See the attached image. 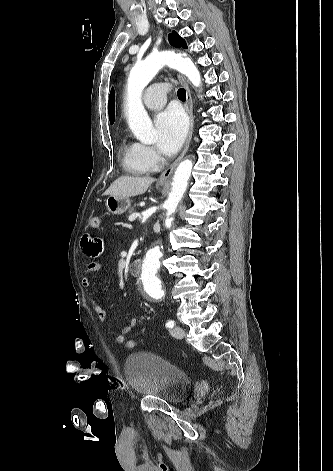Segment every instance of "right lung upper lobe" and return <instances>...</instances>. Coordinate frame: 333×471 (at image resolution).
I'll return each instance as SVG.
<instances>
[{"label": "right lung upper lobe", "instance_id": "obj_1", "mask_svg": "<svg viewBox=\"0 0 333 471\" xmlns=\"http://www.w3.org/2000/svg\"><path fill=\"white\" fill-rule=\"evenodd\" d=\"M114 116H115V94L114 90H111L110 96H109V119L110 123H114Z\"/></svg>", "mask_w": 333, "mask_h": 471}]
</instances>
